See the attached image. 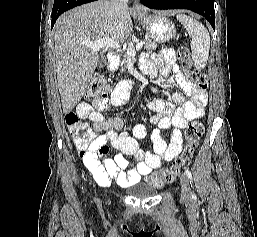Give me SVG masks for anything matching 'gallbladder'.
I'll return each mask as SVG.
<instances>
[{
    "mask_svg": "<svg viewBox=\"0 0 257 237\" xmlns=\"http://www.w3.org/2000/svg\"><path fill=\"white\" fill-rule=\"evenodd\" d=\"M105 63H106V60L104 58H101L98 63L99 68L103 67Z\"/></svg>",
    "mask_w": 257,
    "mask_h": 237,
    "instance_id": "gallbladder-1",
    "label": "gallbladder"
}]
</instances>
